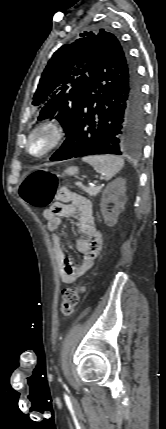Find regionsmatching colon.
Instances as JSON below:
<instances>
[{
  "label": "colon",
  "mask_w": 166,
  "mask_h": 429,
  "mask_svg": "<svg viewBox=\"0 0 166 429\" xmlns=\"http://www.w3.org/2000/svg\"><path fill=\"white\" fill-rule=\"evenodd\" d=\"M20 196L28 204L37 208L48 206L58 196L68 198L80 205L87 203L83 197L67 188L58 189L56 175L44 169H35L24 178L20 186ZM84 292V286L80 285L63 289L61 303V312L63 315L68 316L74 312Z\"/></svg>",
  "instance_id": "5ec220e1"
}]
</instances>
